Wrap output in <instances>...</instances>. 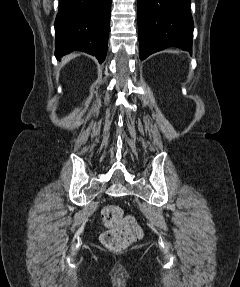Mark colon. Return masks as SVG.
I'll return each instance as SVG.
<instances>
[{
    "mask_svg": "<svg viewBox=\"0 0 240 287\" xmlns=\"http://www.w3.org/2000/svg\"><path fill=\"white\" fill-rule=\"evenodd\" d=\"M102 219L107 229L101 234L100 240L102 245L112 252L125 250L142 236V230L135 218L124 216L123 210L117 205L105 206Z\"/></svg>",
    "mask_w": 240,
    "mask_h": 287,
    "instance_id": "colon-1",
    "label": "colon"
}]
</instances>
